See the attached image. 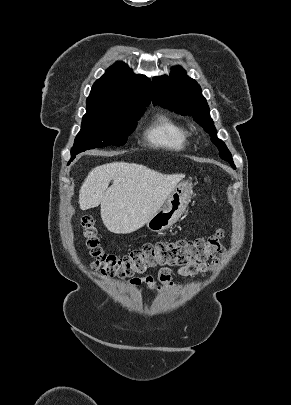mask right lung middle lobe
<instances>
[{"label":"right lung middle lobe","instance_id":"1","mask_svg":"<svg viewBox=\"0 0 291 405\" xmlns=\"http://www.w3.org/2000/svg\"><path fill=\"white\" fill-rule=\"evenodd\" d=\"M71 149V160L88 149L122 146L136 128L145 108L135 110L89 108Z\"/></svg>","mask_w":291,"mask_h":405}]
</instances>
